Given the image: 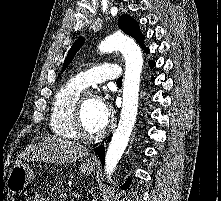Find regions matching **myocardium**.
Returning <instances> with one entry per match:
<instances>
[{
	"label": "myocardium",
	"mask_w": 221,
	"mask_h": 201,
	"mask_svg": "<svg viewBox=\"0 0 221 201\" xmlns=\"http://www.w3.org/2000/svg\"><path fill=\"white\" fill-rule=\"evenodd\" d=\"M88 97H91L93 99H96L98 101L101 100L100 97L98 96H87V97H82L78 100L75 111H74V117H73V128L76 133V135L82 139L85 140H97L101 137H103L112 127H113V119L110 117L108 124L98 133L96 134H90L88 133L83 124V111H84V105L85 101Z\"/></svg>",
	"instance_id": "myocardium-1"
}]
</instances>
